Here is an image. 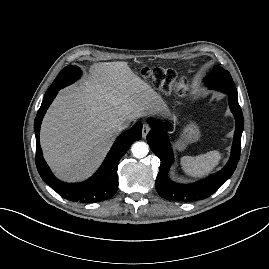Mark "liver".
Returning a JSON list of instances; mask_svg holds the SVG:
<instances>
[{"instance_id":"6515ba94","label":"liver","mask_w":269,"mask_h":269,"mask_svg":"<svg viewBox=\"0 0 269 269\" xmlns=\"http://www.w3.org/2000/svg\"><path fill=\"white\" fill-rule=\"evenodd\" d=\"M162 111L160 95L127 62L95 64L48 109L40 133L44 157L58 178L85 179L101 164L120 122Z\"/></svg>"}]
</instances>
